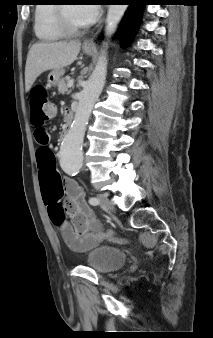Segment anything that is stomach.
Listing matches in <instances>:
<instances>
[{"label": "stomach", "mask_w": 213, "mask_h": 338, "mask_svg": "<svg viewBox=\"0 0 213 338\" xmlns=\"http://www.w3.org/2000/svg\"><path fill=\"white\" fill-rule=\"evenodd\" d=\"M83 52L87 55H91L93 53V49H88V48L83 47ZM64 72L65 71L63 68L54 69L53 71H51L48 75V80H47L48 86L49 87L56 86L59 83Z\"/></svg>", "instance_id": "obj_1"}]
</instances>
